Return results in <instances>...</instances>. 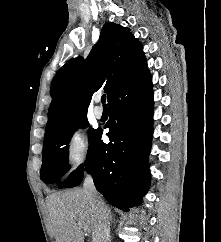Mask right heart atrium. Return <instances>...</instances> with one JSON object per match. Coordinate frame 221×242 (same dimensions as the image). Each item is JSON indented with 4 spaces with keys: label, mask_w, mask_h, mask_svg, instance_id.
<instances>
[{
    "label": "right heart atrium",
    "mask_w": 221,
    "mask_h": 242,
    "mask_svg": "<svg viewBox=\"0 0 221 242\" xmlns=\"http://www.w3.org/2000/svg\"><path fill=\"white\" fill-rule=\"evenodd\" d=\"M62 160L67 175H73L85 167L90 160V148L84 134L73 132L63 146Z\"/></svg>",
    "instance_id": "obj_1"
}]
</instances>
